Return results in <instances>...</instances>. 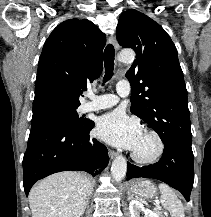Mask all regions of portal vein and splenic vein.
Segmentation results:
<instances>
[{"label":"portal vein and splenic vein","mask_w":211,"mask_h":217,"mask_svg":"<svg viewBox=\"0 0 211 217\" xmlns=\"http://www.w3.org/2000/svg\"><path fill=\"white\" fill-rule=\"evenodd\" d=\"M157 208H158V209H161V207H160V206H157Z\"/></svg>","instance_id":"obj_1"}]
</instances>
